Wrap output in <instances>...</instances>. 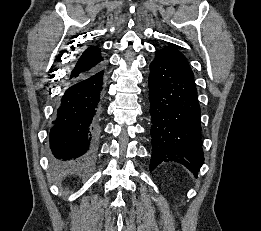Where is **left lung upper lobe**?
Here are the masks:
<instances>
[{
  "label": "left lung upper lobe",
  "instance_id": "left-lung-upper-lobe-1",
  "mask_svg": "<svg viewBox=\"0 0 261 231\" xmlns=\"http://www.w3.org/2000/svg\"><path fill=\"white\" fill-rule=\"evenodd\" d=\"M155 54L162 56L167 60L174 68L179 70L187 77L194 79L193 72L189 66L186 57L174 47H164L163 49L157 50Z\"/></svg>",
  "mask_w": 261,
  "mask_h": 231
}]
</instances>
